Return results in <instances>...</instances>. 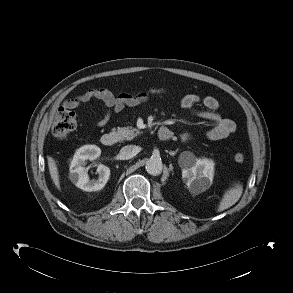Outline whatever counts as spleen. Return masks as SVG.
I'll return each mask as SVG.
<instances>
[{
	"instance_id": "3e777b00",
	"label": "spleen",
	"mask_w": 293,
	"mask_h": 293,
	"mask_svg": "<svg viewBox=\"0 0 293 293\" xmlns=\"http://www.w3.org/2000/svg\"><path fill=\"white\" fill-rule=\"evenodd\" d=\"M243 191L242 184L238 183L234 188L229 189L220 202L218 211H223L233 206L241 197Z\"/></svg>"
}]
</instances>
